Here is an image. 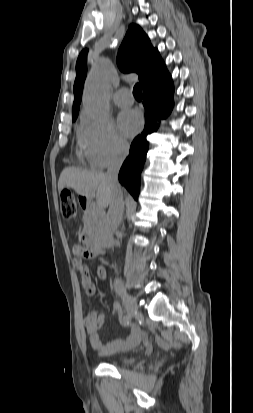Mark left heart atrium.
Instances as JSON below:
<instances>
[{"label": "left heart atrium", "mask_w": 253, "mask_h": 413, "mask_svg": "<svg viewBox=\"0 0 253 413\" xmlns=\"http://www.w3.org/2000/svg\"><path fill=\"white\" fill-rule=\"evenodd\" d=\"M142 117L135 110L123 111L118 117V124L123 135L131 137L135 135L142 127Z\"/></svg>", "instance_id": "left-heart-atrium-1"}]
</instances>
